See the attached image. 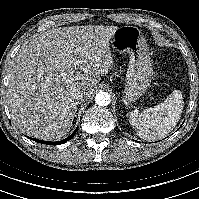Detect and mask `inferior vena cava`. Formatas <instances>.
Wrapping results in <instances>:
<instances>
[{"label": "inferior vena cava", "instance_id": "1", "mask_svg": "<svg viewBox=\"0 0 199 199\" xmlns=\"http://www.w3.org/2000/svg\"><path fill=\"white\" fill-rule=\"evenodd\" d=\"M71 97L78 103L84 100L85 98V92L81 89L74 88L71 91Z\"/></svg>", "mask_w": 199, "mask_h": 199}]
</instances>
